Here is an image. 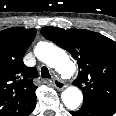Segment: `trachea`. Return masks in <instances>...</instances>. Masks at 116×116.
<instances>
[{"mask_svg":"<svg viewBox=\"0 0 116 116\" xmlns=\"http://www.w3.org/2000/svg\"><path fill=\"white\" fill-rule=\"evenodd\" d=\"M41 76L44 79H50L51 78V75L49 73V70H48V68L46 66H43L41 68Z\"/></svg>","mask_w":116,"mask_h":116,"instance_id":"1","label":"trachea"}]
</instances>
